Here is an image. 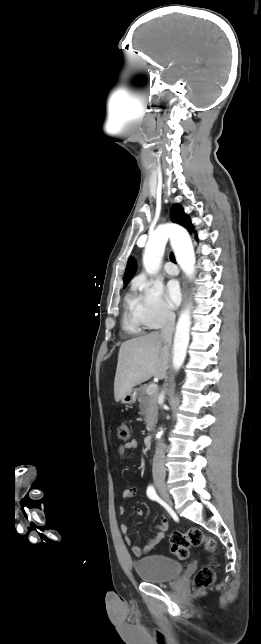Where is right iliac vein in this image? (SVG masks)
<instances>
[{
	"mask_svg": "<svg viewBox=\"0 0 261 644\" xmlns=\"http://www.w3.org/2000/svg\"><path fill=\"white\" fill-rule=\"evenodd\" d=\"M154 483H155V486L157 487V489L159 490V492H160L161 496H162V497H163V498H164V499H165L169 504H171V501H170V498H169V495H168V492H167V487H166V484H165L164 477H163V476H161V475H156V476L154 477Z\"/></svg>",
	"mask_w": 261,
	"mask_h": 644,
	"instance_id": "1",
	"label": "right iliac vein"
}]
</instances>
